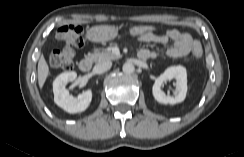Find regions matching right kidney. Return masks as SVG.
<instances>
[{
	"mask_svg": "<svg viewBox=\"0 0 244 157\" xmlns=\"http://www.w3.org/2000/svg\"><path fill=\"white\" fill-rule=\"evenodd\" d=\"M77 73L74 71L61 73L53 82L54 102L64 111L75 114L85 111L91 103L92 91H84L77 98L69 94L66 89L68 82L76 79Z\"/></svg>",
	"mask_w": 244,
	"mask_h": 157,
	"instance_id": "1",
	"label": "right kidney"
}]
</instances>
